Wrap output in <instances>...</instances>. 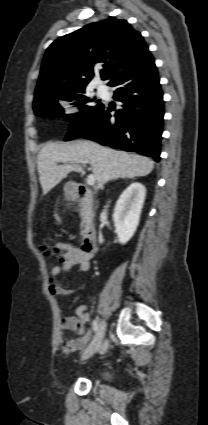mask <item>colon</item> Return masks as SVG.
<instances>
[{
  "label": "colon",
  "mask_w": 208,
  "mask_h": 425,
  "mask_svg": "<svg viewBox=\"0 0 208 425\" xmlns=\"http://www.w3.org/2000/svg\"><path fill=\"white\" fill-rule=\"evenodd\" d=\"M40 251L44 256L51 257L58 253V250L47 243H43L39 246Z\"/></svg>",
  "instance_id": "5ec220e1"
}]
</instances>
